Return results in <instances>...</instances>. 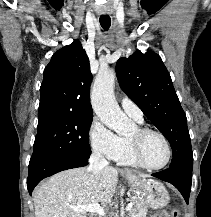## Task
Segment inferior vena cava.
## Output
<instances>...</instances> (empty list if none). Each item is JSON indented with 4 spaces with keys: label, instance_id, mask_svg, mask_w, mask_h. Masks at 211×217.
Instances as JSON below:
<instances>
[{
    "label": "inferior vena cava",
    "instance_id": "inferior-vena-cava-1",
    "mask_svg": "<svg viewBox=\"0 0 211 217\" xmlns=\"http://www.w3.org/2000/svg\"><path fill=\"white\" fill-rule=\"evenodd\" d=\"M108 161L98 151H94L89 158V169L99 178L103 169L108 166Z\"/></svg>",
    "mask_w": 211,
    "mask_h": 217
}]
</instances>
